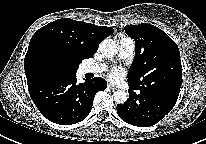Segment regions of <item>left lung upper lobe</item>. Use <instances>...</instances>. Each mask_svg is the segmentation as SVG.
I'll use <instances>...</instances> for the list:
<instances>
[{"mask_svg":"<svg viewBox=\"0 0 206 144\" xmlns=\"http://www.w3.org/2000/svg\"><path fill=\"white\" fill-rule=\"evenodd\" d=\"M124 29L136 42L128 82L153 88L181 87L182 65L177 44L162 30L147 23L126 25Z\"/></svg>","mask_w":206,"mask_h":144,"instance_id":"left-lung-upper-lobe-1","label":"left lung upper lobe"}]
</instances>
